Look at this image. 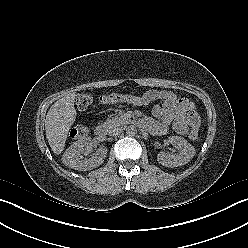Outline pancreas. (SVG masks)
Here are the masks:
<instances>
[{"label": "pancreas", "instance_id": "cf45deb5", "mask_svg": "<svg viewBox=\"0 0 248 248\" xmlns=\"http://www.w3.org/2000/svg\"><path fill=\"white\" fill-rule=\"evenodd\" d=\"M130 122V118L126 115L115 116L112 119H107L104 125L108 128H113L115 126H120Z\"/></svg>", "mask_w": 248, "mask_h": 248}]
</instances>
